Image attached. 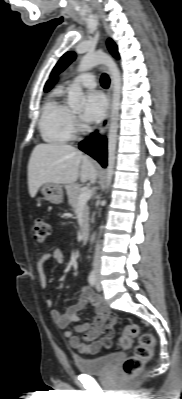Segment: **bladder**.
I'll return each mask as SVG.
<instances>
[{
    "mask_svg": "<svg viewBox=\"0 0 182 399\" xmlns=\"http://www.w3.org/2000/svg\"><path fill=\"white\" fill-rule=\"evenodd\" d=\"M121 357V353H107L89 359L75 358L74 363L81 374L101 375L106 374Z\"/></svg>",
    "mask_w": 182,
    "mask_h": 399,
    "instance_id": "31cf9c89",
    "label": "bladder"
}]
</instances>
